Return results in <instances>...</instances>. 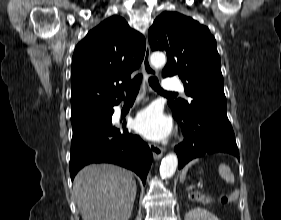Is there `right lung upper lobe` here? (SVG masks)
<instances>
[{"label":"right lung upper lobe","mask_w":281,"mask_h":220,"mask_svg":"<svg viewBox=\"0 0 281 220\" xmlns=\"http://www.w3.org/2000/svg\"><path fill=\"white\" fill-rule=\"evenodd\" d=\"M145 39L112 16L77 44L71 71V119L97 114L124 98L122 88L145 54Z\"/></svg>","instance_id":"1"}]
</instances>
